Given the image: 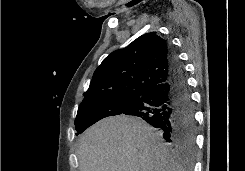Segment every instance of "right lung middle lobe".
Instances as JSON below:
<instances>
[{
    "label": "right lung middle lobe",
    "mask_w": 245,
    "mask_h": 171,
    "mask_svg": "<svg viewBox=\"0 0 245 171\" xmlns=\"http://www.w3.org/2000/svg\"><path fill=\"white\" fill-rule=\"evenodd\" d=\"M137 95H118L99 100L83 101L75 119L77 135L102 118L119 115L125 107L138 99Z\"/></svg>",
    "instance_id": "right-lung-middle-lobe-1"
}]
</instances>
